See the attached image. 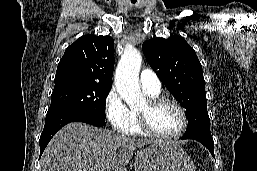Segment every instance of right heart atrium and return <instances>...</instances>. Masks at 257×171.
<instances>
[{
    "label": "right heart atrium",
    "mask_w": 257,
    "mask_h": 171,
    "mask_svg": "<svg viewBox=\"0 0 257 171\" xmlns=\"http://www.w3.org/2000/svg\"><path fill=\"white\" fill-rule=\"evenodd\" d=\"M104 110L107 120L114 129L125 132L129 128L133 112L115 88L108 92L104 101Z\"/></svg>",
    "instance_id": "1"
}]
</instances>
